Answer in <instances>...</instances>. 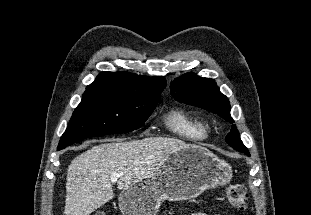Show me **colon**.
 Instances as JSON below:
<instances>
[{"label":"colon","instance_id":"colon-1","mask_svg":"<svg viewBox=\"0 0 311 215\" xmlns=\"http://www.w3.org/2000/svg\"><path fill=\"white\" fill-rule=\"evenodd\" d=\"M229 203L238 210H245L248 201V192L242 184H232L226 189ZM95 215H106L104 212H97Z\"/></svg>","mask_w":311,"mask_h":215}]
</instances>
